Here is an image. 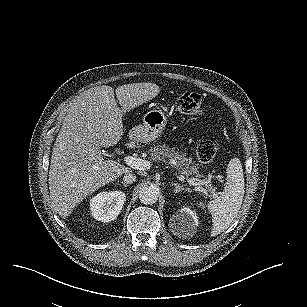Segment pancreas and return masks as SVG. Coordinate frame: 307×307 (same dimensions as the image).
<instances>
[{"instance_id":"cf45deb5","label":"pancreas","mask_w":307,"mask_h":307,"mask_svg":"<svg viewBox=\"0 0 307 307\" xmlns=\"http://www.w3.org/2000/svg\"><path fill=\"white\" fill-rule=\"evenodd\" d=\"M150 159L154 162L160 161L169 163L172 168H175L180 174L184 176H191L198 186L202 187L206 193H214L212 179L205 177L204 172H201L198 165H191L186 163L185 155L179 150L169 148L167 145L153 144L147 150ZM175 163V164H174Z\"/></svg>"}]
</instances>
